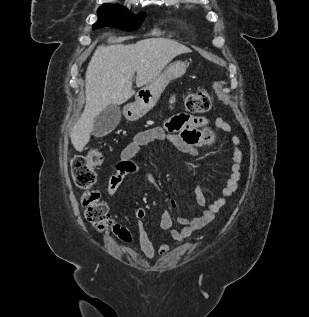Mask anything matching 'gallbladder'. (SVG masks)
Returning <instances> with one entry per match:
<instances>
[{"label":"gallbladder","mask_w":309,"mask_h":317,"mask_svg":"<svg viewBox=\"0 0 309 317\" xmlns=\"http://www.w3.org/2000/svg\"><path fill=\"white\" fill-rule=\"evenodd\" d=\"M121 119V110L117 105H108L94 119L93 132L95 137H102L112 132Z\"/></svg>","instance_id":"gallbladder-1"}]
</instances>
